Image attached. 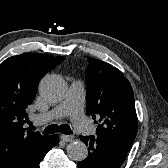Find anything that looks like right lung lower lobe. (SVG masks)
Masks as SVG:
<instances>
[{"instance_id":"obj_1","label":"right lung lower lobe","mask_w":168,"mask_h":168,"mask_svg":"<svg viewBox=\"0 0 168 168\" xmlns=\"http://www.w3.org/2000/svg\"><path fill=\"white\" fill-rule=\"evenodd\" d=\"M58 143V137L56 135L50 136L47 144L37 154L28 159L20 168H39V163L44 158L46 153Z\"/></svg>"}]
</instances>
